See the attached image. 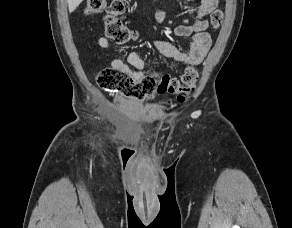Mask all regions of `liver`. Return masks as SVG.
Wrapping results in <instances>:
<instances>
[{
    "mask_svg": "<svg viewBox=\"0 0 292 228\" xmlns=\"http://www.w3.org/2000/svg\"><path fill=\"white\" fill-rule=\"evenodd\" d=\"M83 0H67L69 12L72 13Z\"/></svg>",
    "mask_w": 292,
    "mask_h": 228,
    "instance_id": "obj_1",
    "label": "liver"
}]
</instances>
